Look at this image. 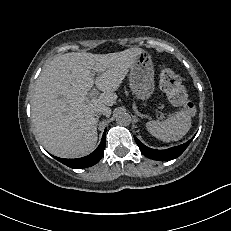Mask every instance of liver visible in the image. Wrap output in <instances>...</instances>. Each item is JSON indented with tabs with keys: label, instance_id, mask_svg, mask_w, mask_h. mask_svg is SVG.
Returning <instances> with one entry per match:
<instances>
[{
	"label": "liver",
	"instance_id": "liver-1",
	"mask_svg": "<svg viewBox=\"0 0 231 231\" xmlns=\"http://www.w3.org/2000/svg\"><path fill=\"white\" fill-rule=\"evenodd\" d=\"M144 50L92 54L70 52L55 57L38 77L31 99V116L37 139L51 154L77 158L97 144L95 111L110 117L114 93ZM93 72L98 76L94 80ZM102 91L90 99L93 85Z\"/></svg>",
	"mask_w": 231,
	"mask_h": 231
}]
</instances>
